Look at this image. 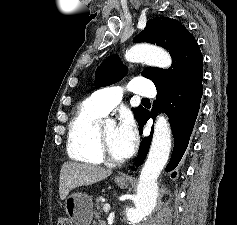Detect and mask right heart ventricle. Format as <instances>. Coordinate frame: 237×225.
Here are the masks:
<instances>
[{"instance_id":"right-heart-ventricle-1","label":"right heart ventricle","mask_w":237,"mask_h":225,"mask_svg":"<svg viewBox=\"0 0 237 225\" xmlns=\"http://www.w3.org/2000/svg\"><path fill=\"white\" fill-rule=\"evenodd\" d=\"M104 115L90 98L79 106L69 125L67 151L72 159L87 164L103 162L97 129Z\"/></svg>"}]
</instances>
